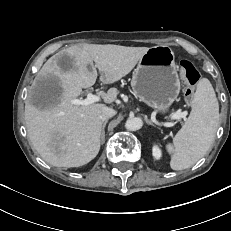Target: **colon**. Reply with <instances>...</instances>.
I'll list each match as a JSON object with an SVG mask.
<instances>
[{
	"label": "colon",
	"mask_w": 231,
	"mask_h": 231,
	"mask_svg": "<svg viewBox=\"0 0 231 231\" xmlns=\"http://www.w3.org/2000/svg\"><path fill=\"white\" fill-rule=\"evenodd\" d=\"M180 75L182 79L187 83V87L184 90L185 99H190L193 93V86L200 80L201 74L196 67L187 60L180 62Z\"/></svg>",
	"instance_id": "obj_1"
}]
</instances>
